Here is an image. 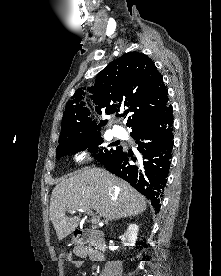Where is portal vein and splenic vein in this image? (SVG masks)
<instances>
[{"mask_svg":"<svg viewBox=\"0 0 221 276\" xmlns=\"http://www.w3.org/2000/svg\"><path fill=\"white\" fill-rule=\"evenodd\" d=\"M76 211L84 212L85 210H82V209H79V210H71L70 212L75 213ZM86 212H87V214H89V215L92 216L91 222H92L93 224H98V223H100V217H99V216H95V215L93 214V212L90 211V210H88V211H86Z\"/></svg>","mask_w":221,"mask_h":276,"instance_id":"1","label":"portal vein and splenic vein"}]
</instances>
